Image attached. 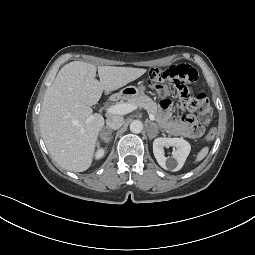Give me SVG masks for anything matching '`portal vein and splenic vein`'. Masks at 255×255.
I'll return each instance as SVG.
<instances>
[{"mask_svg": "<svg viewBox=\"0 0 255 255\" xmlns=\"http://www.w3.org/2000/svg\"><path fill=\"white\" fill-rule=\"evenodd\" d=\"M137 108L136 105L130 103H118L116 105L110 106L106 109L108 114H117V115H124L132 112ZM149 118L151 121L155 120V116L149 113ZM93 119V116L87 118V122H90Z\"/></svg>", "mask_w": 255, "mask_h": 255, "instance_id": "obj_1", "label": "portal vein and splenic vein"}]
</instances>
